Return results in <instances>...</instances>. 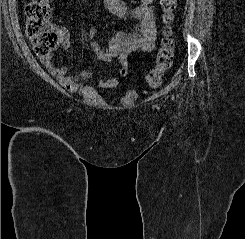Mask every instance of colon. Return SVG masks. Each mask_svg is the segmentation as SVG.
I'll return each instance as SVG.
<instances>
[{"label":"colon","instance_id":"colon-1","mask_svg":"<svg viewBox=\"0 0 245 239\" xmlns=\"http://www.w3.org/2000/svg\"><path fill=\"white\" fill-rule=\"evenodd\" d=\"M52 0H31L25 7L27 16L26 34L35 53L40 57L50 56L59 44L57 33L49 25L52 16ZM163 11V38L156 56L155 67L150 70L145 81L148 86L157 88L162 83L164 73L172 66L175 40L173 37L174 10L177 0H160Z\"/></svg>","mask_w":245,"mask_h":239}]
</instances>
